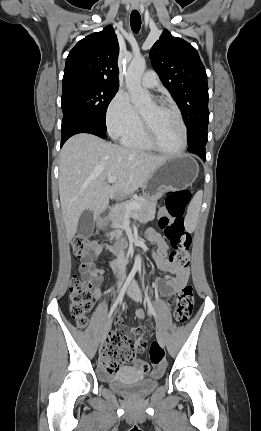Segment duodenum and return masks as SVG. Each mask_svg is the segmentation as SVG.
<instances>
[{
    "mask_svg": "<svg viewBox=\"0 0 261 431\" xmlns=\"http://www.w3.org/2000/svg\"><path fill=\"white\" fill-rule=\"evenodd\" d=\"M103 221L104 219H101V223H103ZM124 246H125L124 242H117L112 246L111 250L113 253H118Z\"/></svg>",
    "mask_w": 261,
    "mask_h": 431,
    "instance_id": "410a0bca",
    "label": "duodenum"
}]
</instances>
